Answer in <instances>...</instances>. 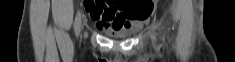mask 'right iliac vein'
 Instances as JSON below:
<instances>
[{"instance_id":"obj_1","label":"right iliac vein","mask_w":235,"mask_h":62,"mask_svg":"<svg viewBox=\"0 0 235 62\" xmlns=\"http://www.w3.org/2000/svg\"><path fill=\"white\" fill-rule=\"evenodd\" d=\"M80 30H81V26H80L79 32H80ZM79 32H78V33H79Z\"/></svg>"}]
</instances>
